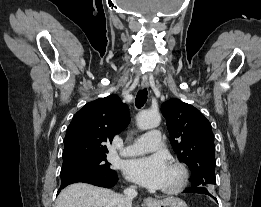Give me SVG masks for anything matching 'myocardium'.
Returning <instances> with one entry per match:
<instances>
[{
    "instance_id": "obj_1",
    "label": "myocardium",
    "mask_w": 261,
    "mask_h": 207,
    "mask_svg": "<svg viewBox=\"0 0 261 207\" xmlns=\"http://www.w3.org/2000/svg\"><path fill=\"white\" fill-rule=\"evenodd\" d=\"M169 167L176 170L178 178L171 186L161 188V191L165 194H175L184 189L188 182L189 174L187 168L180 162L172 161L169 163Z\"/></svg>"
}]
</instances>
